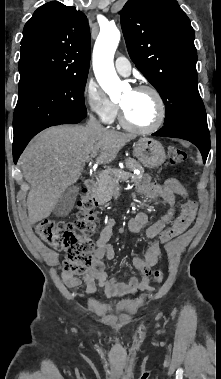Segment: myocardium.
Masks as SVG:
<instances>
[{
  "label": "myocardium",
  "mask_w": 221,
  "mask_h": 379,
  "mask_svg": "<svg viewBox=\"0 0 221 379\" xmlns=\"http://www.w3.org/2000/svg\"><path fill=\"white\" fill-rule=\"evenodd\" d=\"M133 91L148 92L155 98V101L157 103L156 119L151 125L146 126V127H140V126L134 125L128 120L123 107L120 105L119 120H120L121 125L132 132H136L140 134H149V133L157 131L163 125L166 118V105H165L163 96L155 87L151 85H139L135 87Z\"/></svg>",
  "instance_id": "obj_1"
}]
</instances>
